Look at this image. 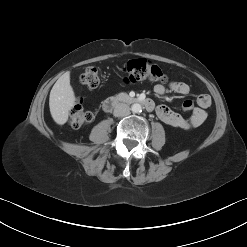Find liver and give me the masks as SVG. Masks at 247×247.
<instances>
[{
    "label": "liver",
    "instance_id": "obj_1",
    "mask_svg": "<svg viewBox=\"0 0 247 247\" xmlns=\"http://www.w3.org/2000/svg\"><path fill=\"white\" fill-rule=\"evenodd\" d=\"M74 104L75 94L70 85V72H66L56 81L50 92L49 108L53 120L59 125L65 124Z\"/></svg>",
    "mask_w": 247,
    "mask_h": 247
}]
</instances>
